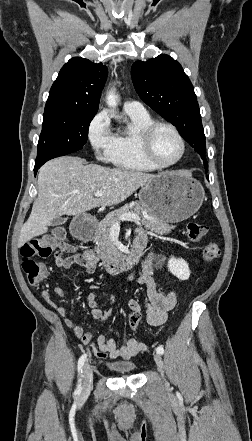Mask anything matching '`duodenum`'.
<instances>
[{
  "mask_svg": "<svg viewBox=\"0 0 252 441\" xmlns=\"http://www.w3.org/2000/svg\"><path fill=\"white\" fill-rule=\"evenodd\" d=\"M95 219L91 218L88 222H74L71 226L73 236L79 240H89L93 237V227ZM144 247L134 245L129 253L122 256L107 255L103 258V267L108 273L116 274L120 271L126 270L134 266L140 259ZM83 257L87 260H95L96 254L93 251H86Z\"/></svg>",
  "mask_w": 252,
  "mask_h": 441,
  "instance_id": "duodenum-1",
  "label": "duodenum"
}]
</instances>
